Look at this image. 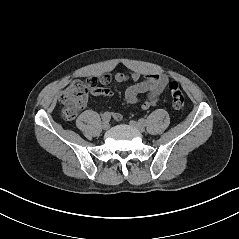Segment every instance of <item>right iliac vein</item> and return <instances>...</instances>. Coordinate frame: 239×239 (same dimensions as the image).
<instances>
[{
    "label": "right iliac vein",
    "instance_id": "63e3f726",
    "mask_svg": "<svg viewBox=\"0 0 239 239\" xmlns=\"http://www.w3.org/2000/svg\"><path fill=\"white\" fill-rule=\"evenodd\" d=\"M110 127L109 121H103L102 128L104 130H107Z\"/></svg>",
    "mask_w": 239,
    "mask_h": 239
}]
</instances>
